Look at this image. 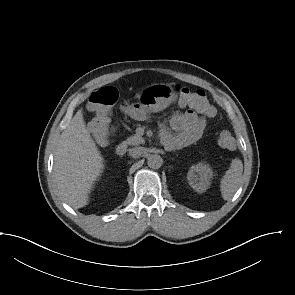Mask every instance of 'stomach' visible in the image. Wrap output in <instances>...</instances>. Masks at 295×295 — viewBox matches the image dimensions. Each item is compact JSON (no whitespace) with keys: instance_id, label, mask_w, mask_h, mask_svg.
Wrapping results in <instances>:
<instances>
[{"instance_id":"stomach-1","label":"stomach","mask_w":295,"mask_h":295,"mask_svg":"<svg viewBox=\"0 0 295 295\" xmlns=\"http://www.w3.org/2000/svg\"><path fill=\"white\" fill-rule=\"evenodd\" d=\"M174 91L165 84H155L145 90L140 96V103L149 112L165 109L173 100Z\"/></svg>"}]
</instances>
